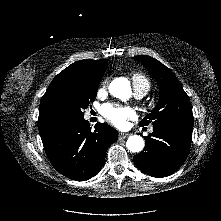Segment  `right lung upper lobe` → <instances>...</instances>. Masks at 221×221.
<instances>
[{
	"label": "right lung upper lobe",
	"instance_id": "obj_1",
	"mask_svg": "<svg viewBox=\"0 0 221 221\" xmlns=\"http://www.w3.org/2000/svg\"><path fill=\"white\" fill-rule=\"evenodd\" d=\"M107 68V60L77 61L60 72L47 88L41 98L39 106L38 128L40 134L57 129L71 121L63 111L55 106L51 99V92L56 80L66 74H76L86 79L100 81Z\"/></svg>",
	"mask_w": 221,
	"mask_h": 221
}]
</instances>
